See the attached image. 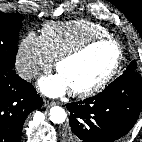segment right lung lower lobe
Segmentation results:
<instances>
[{
  "mask_svg": "<svg viewBox=\"0 0 142 142\" xmlns=\"http://www.w3.org/2000/svg\"><path fill=\"white\" fill-rule=\"evenodd\" d=\"M42 102L34 87L15 71L0 70V142H20L27 115Z\"/></svg>",
  "mask_w": 142,
  "mask_h": 142,
  "instance_id": "obj_1",
  "label": "right lung lower lobe"
}]
</instances>
